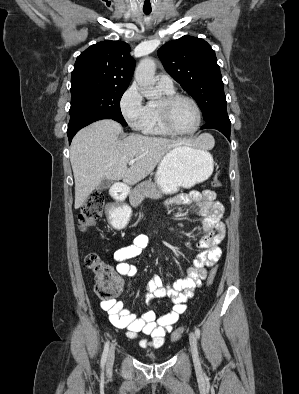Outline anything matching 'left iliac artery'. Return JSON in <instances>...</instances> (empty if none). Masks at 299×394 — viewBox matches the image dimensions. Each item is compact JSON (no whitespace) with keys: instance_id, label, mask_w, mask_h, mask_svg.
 <instances>
[{"instance_id":"1","label":"left iliac artery","mask_w":299,"mask_h":394,"mask_svg":"<svg viewBox=\"0 0 299 394\" xmlns=\"http://www.w3.org/2000/svg\"><path fill=\"white\" fill-rule=\"evenodd\" d=\"M195 335H196L197 338L200 337V330L197 327H195Z\"/></svg>"}]
</instances>
